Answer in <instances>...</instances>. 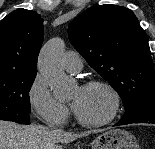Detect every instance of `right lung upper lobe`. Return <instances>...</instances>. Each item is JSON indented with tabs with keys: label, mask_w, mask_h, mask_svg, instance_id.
Instances as JSON below:
<instances>
[{
	"label": "right lung upper lobe",
	"mask_w": 155,
	"mask_h": 149,
	"mask_svg": "<svg viewBox=\"0 0 155 149\" xmlns=\"http://www.w3.org/2000/svg\"><path fill=\"white\" fill-rule=\"evenodd\" d=\"M43 20L23 8L0 22V73L37 72L36 63L43 43Z\"/></svg>",
	"instance_id": "obj_1"
}]
</instances>
